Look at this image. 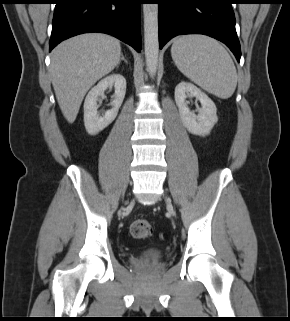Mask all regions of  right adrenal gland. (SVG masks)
Returning <instances> with one entry per match:
<instances>
[{"label":"right adrenal gland","mask_w":290,"mask_h":321,"mask_svg":"<svg viewBox=\"0 0 290 321\" xmlns=\"http://www.w3.org/2000/svg\"><path fill=\"white\" fill-rule=\"evenodd\" d=\"M121 61H124L126 64H128V61L125 59L124 55L122 54V55H121V59H120L118 65H117V68H119Z\"/></svg>","instance_id":"right-adrenal-gland-1"}]
</instances>
